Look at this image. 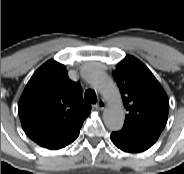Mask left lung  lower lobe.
Returning a JSON list of instances; mask_svg holds the SVG:
<instances>
[{"label":"left lung lower lobe","instance_id":"left-lung-lower-lobe-1","mask_svg":"<svg viewBox=\"0 0 184 174\" xmlns=\"http://www.w3.org/2000/svg\"><path fill=\"white\" fill-rule=\"evenodd\" d=\"M158 137L141 133L138 131L131 130L123 127L122 130L112 132V142L124 152L137 153L142 152L150 148Z\"/></svg>","mask_w":184,"mask_h":174}]
</instances>
